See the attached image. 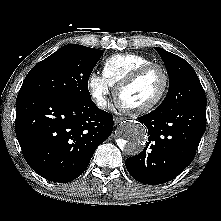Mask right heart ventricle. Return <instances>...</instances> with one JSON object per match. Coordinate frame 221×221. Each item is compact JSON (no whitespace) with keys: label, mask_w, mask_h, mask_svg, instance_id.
Returning a JSON list of instances; mask_svg holds the SVG:
<instances>
[{"label":"right heart ventricle","mask_w":221,"mask_h":221,"mask_svg":"<svg viewBox=\"0 0 221 221\" xmlns=\"http://www.w3.org/2000/svg\"><path fill=\"white\" fill-rule=\"evenodd\" d=\"M151 63H154L151 58L141 54H116L105 61L103 76L111 87H116L135 70Z\"/></svg>","instance_id":"obj_1"}]
</instances>
